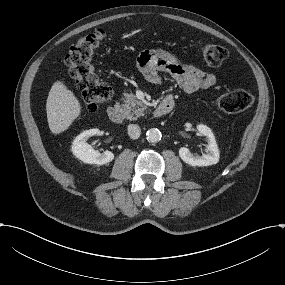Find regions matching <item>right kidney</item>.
Returning a JSON list of instances; mask_svg holds the SVG:
<instances>
[{"label":"right kidney","instance_id":"1","mask_svg":"<svg viewBox=\"0 0 285 285\" xmlns=\"http://www.w3.org/2000/svg\"><path fill=\"white\" fill-rule=\"evenodd\" d=\"M97 134H99L98 129L84 131L75 138L72 144V153L83 163L104 165L110 163L114 159L113 152L105 151L103 154H99L88 144V140Z\"/></svg>","mask_w":285,"mask_h":285}]
</instances>
